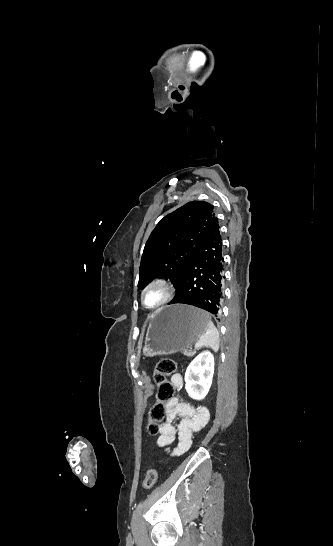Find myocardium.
<instances>
[{
	"label": "myocardium",
	"mask_w": 333,
	"mask_h": 546,
	"mask_svg": "<svg viewBox=\"0 0 333 546\" xmlns=\"http://www.w3.org/2000/svg\"><path fill=\"white\" fill-rule=\"evenodd\" d=\"M160 287L164 290V298L161 302H159L157 305H154V306H149L146 302V293L148 292L149 289H151L152 287ZM174 291H175V288L173 286V284L166 278H162V277H157V278H154L152 279L151 281H149L146 286L143 288L142 292H141V302L143 304V306H145L146 308H149V309H158L162 306H164L165 304H167L171 298L173 297L174 295Z\"/></svg>",
	"instance_id": "1"
}]
</instances>
